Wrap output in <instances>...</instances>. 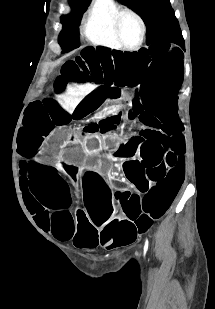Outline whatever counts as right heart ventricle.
<instances>
[{
  "label": "right heart ventricle",
  "instance_id": "1",
  "mask_svg": "<svg viewBox=\"0 0 215 309\" xmlns=\"http://www.w3.org/2000/svg\"><path fill=\"white\" fill-rule=\"evenodd\" d=\"M111 11L97 9L96 14H92L91 19H86L85 33L90 43L106 48H118L115 44L116 33L115 21L111 19Z\"/></svg>",
  "mask_w": 215,
  "mask_h": 309
}]
</instances>
